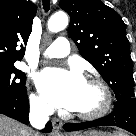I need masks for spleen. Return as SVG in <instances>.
Listing matches in <instances>:
<instances>
[{
    "label": "spleen",
    "mask_w": 136,
    "mask_h": 136,
    "mask_svg": "<svg viewBox=\"0 0 136 136\" xmlns=\"http://www.w3.org/2000/svg\"><path fill=\"white\" fill-rule=\"evenodd\" d=\"M114 136H124V135L121 133H115Z\"/></svg>",
    "instance_id": "3e777b00"
}]
</instances>
